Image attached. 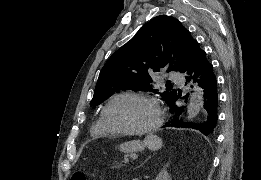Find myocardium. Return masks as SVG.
Segmentation results:
<instances>
[{"label": "myocardium", "mask_w": 261, "mask_h": 180, "mask_svg": "<svg viewBox=\"0 0 261 180\" xmlns=\"http://www.w3.org/2000/svg\"><path fill=\"white\" fill-rule=\"evenodd\" d=\"M126 96H136V97H140L142 99L147 100L148 102H150L154 108V116L152 119V122L150 124V127L148 128L147 131L143 132V133H120L117 132L116 130H114L111 125L109 124L106 114H107V110L108 108L118 99L122 98V97H126ZM101 119L103 122L104 127L106 128V130L112 134L113 136H115L116 138L119 139H136V140H145L148 139L152 136H154L158 129L159 126L161 124V119H162V111H161V105L158 101V99L152 95L151 93L144 91V90H125L122 92H119L115 95H113L103 106L102 110H101Z\"/></svg>", "instance_id": "myocardium-1"}]
</instances>
